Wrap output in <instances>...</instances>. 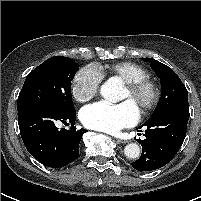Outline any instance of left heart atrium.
I'll return each mask as SVG.
<instances>
[{
	"instance_id": "left-heart-atrium-1",
	"label": "left heart atrium",
	"mask_w": 201,
	"mask_h": 201,
	"mask_svg": "<svg viewBox=\"0 0 201 201\" xmlns=\"http://www.w3.org/2000/svg\"><path fill=\"white\" fill-rule=\"evenodd\" d=\"M80 118L87 128L113 134L133 126L139 119V111L130 101L119 104L101 101L84 107Z\"/></svg>"
}]
</instances>
